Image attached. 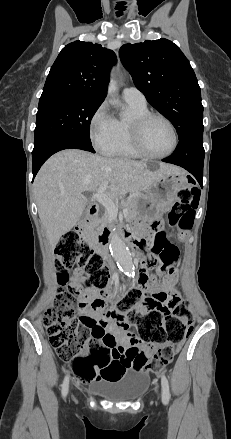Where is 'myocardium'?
<instances>
[{"instance_id":"f54148a6","label":"myocardium","mask_w":231,"mask_h":439,"mask_svg":"<svg viewBox=\"0 0 231 439\" xmlns=\"http://www.w3.org/2000/svg\"><path fill=\"white\" fill-rule=\"evenodd\" d=\"M153 118H158L163 120L167 123V125L170 127L172 135H173V145L171 149L164 153V154H153L150 153L147 148L145 147L143 143V130L145 125ZM130 135H131V142L134 147V149L143 157L149 158V159H164L172 155L179 144V136L177 129L174 125V123L165 115L157 112H146L142 115H139L135 117L131 122V129H130Z\"/></svg>"}]
</instances>
